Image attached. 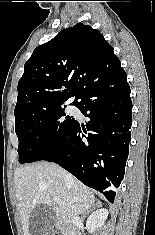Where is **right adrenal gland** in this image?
I'll use <instances>...</instances> for the list:
<instances>
[{
	"mask_svg": "<svg viewBox=\"0 0 155 235\" xmlns=\"http://www.w3.org/2000/svg\"><path fill=\"white\" fill-rule=\"evenodd\" d=\"M100 206H101V203H100V202H97V203L95 204V208H96V207H100ZM91 211H92V208H90V209H88L87 211H85V212L83 213V215H82V219H84V218L86 217V215H88Z\"/></svg>",
	"mask_w": 155,
	"mask_h": 235,
	"instance_id": "right-adrenal-gland-1",
	"label": "right adrenal gland"
}]
</instances>
